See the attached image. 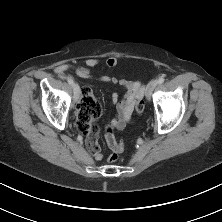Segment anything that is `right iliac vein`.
Masks as SVG:
<instances>
[{
  "instance_id": "63e3f726",
  "label": "right iliac vein",
  "mask_w": 222,
  "mask_h": 222,
  "mask_svg": "<svg viewBox=\"0 0 222 222\" xmlns=\"http://www.w3.org/2000/svg\"><path fill=\"white\" fill-rule=\"evenodd\" d=\"M74 100L77 101L80 97V87L78 84H74Z\"/></svg>"
}]
</instances>
